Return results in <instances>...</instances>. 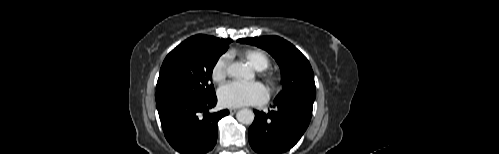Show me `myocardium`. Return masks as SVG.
<instances>
[{
	"label": "myocardium",
	"mask_w": 499,
	"mask_h": 154,
	"mask_svg": "<svg viewBox=\"0 0 499 154\" xmlns=\"http://www.w3.org/2000/svg\"><path fill=\"white\" fill-rule=\"evenodd\" d=\"M271 75H272L271 73H268V74L266 75V77H267V80H268L270 83H273V79H272Z\"/></svg>",
	"instance_id": "f54148a6"
}]
</instances>
